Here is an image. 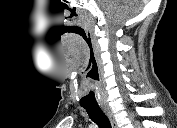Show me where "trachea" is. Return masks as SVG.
I'll return each mask as SVG.
<instances>
[{
  "label": "trachea",
  "instance_id": "3493384b",
  "mask_svg": "<svg viewBox=\"0 0 177 128\" xmlns=\"http://www.w3.org/2000/svg\"><path fill=\"white\" fill-rule=\"evenodd\" d=\"M90 119L98 125L99 128H112L108 117L99 106H83Z\"/></svg>",
  "mask_w": 177,
  "mask_h": 128
}]
</instances>
